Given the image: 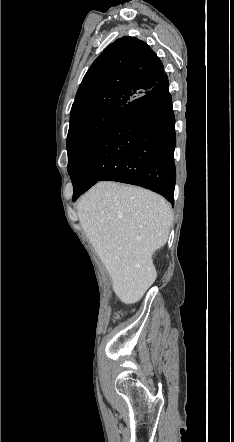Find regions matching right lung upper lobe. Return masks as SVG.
Instances as JSON below:
<instances>
[{
  "instance_id": "1",
  "label": "right lung upper lobe",
  "mask_w": 234,
  "mask_h": 442,
  "mask_svg": "<svg viewBox=\"0 0 234 442\" xmlns=\"http://www.w3.org/2000/svg\"><path fill=\"white\" fill-rule=\"evenodd\" d=\"M163 75L161 60L145 42L129 36L117 39L84 76L70 122L97 111L120 109L151 90Z\"/></svg>"
}]
</instances>
